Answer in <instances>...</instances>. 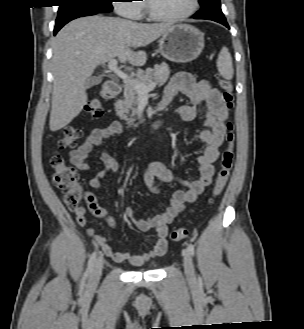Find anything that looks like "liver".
Segmentation results:
<instances>
[{
	"instance_id": "liver-1",
	"label": "liver",
	"mask_w": 304,
	"mask_h": 329,
	"mask_svg": "<svg viewBox=\"0 0 304 329\" xmlns=\"http://www.w3.org/2000/svg\"><path fill=\"white\" fill-rule=\"evenodd\" d=\"M170 27L168 23L143 24L101 15L65 25L53 41L50 130L62 129L82 111L87 103V82L99 64L118 58L132 67L144 65L146 52L136 49L152 43Z\"/></svg>"
}]
</instances>
